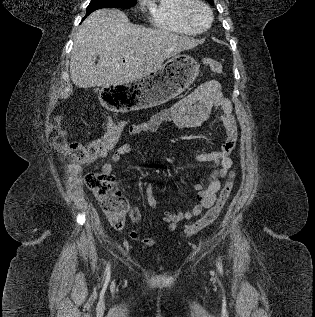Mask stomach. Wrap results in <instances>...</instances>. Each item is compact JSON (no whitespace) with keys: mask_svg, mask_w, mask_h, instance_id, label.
Masks as SVG:
<instances>
[{"mask_svg":"<svg viewBox=\"0 0 315 317\" xmlns=\"http://www.w3.org/2000/svg\"><path fill=\"white\" fill-rule=\"evenodd\" d=\"M199 64L189 55L178 54L156 72L131 84H112L102 88L103 103L114 114L162 105L184 92L199 74Z\"/></svg>","mask_w":315,"mask_h":317,"instance_id":"stomach-1","label":"stomach"}]
</instances>
